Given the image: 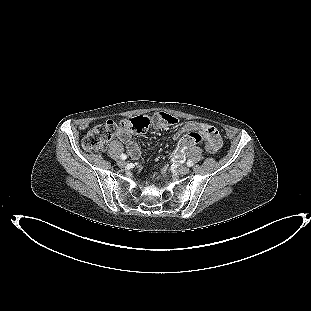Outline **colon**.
<instances>
[{"label": "colon", "mask_w": 311, "mask_h": 311, "mask_svg": "<svg viewBox=\"0 0 311 311\" xmlns=\"http://www.w3.org/2000/svg\"><path fill=\"white\" fill-rule=\"evenodd\" d=\"M151 124L157 127L175 126L178 124V119L168 113L159 112L153 115L151 119L146 116H136L122 119L119 122L107 121L93 127L86 133L83 138V147L88 151H101L107 142L120 131L140 133L144 132ZM200 139V135L193 132L180 141L179 147H188L199 142Z\"/></svg>", "instance_id": "colon-1"}]
</instances>
